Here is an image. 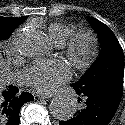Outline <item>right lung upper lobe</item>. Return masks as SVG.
Instances as JSON below:
<instances>
[{
    "instance_id": "1",
    "label": "right lung upper lobe",
    "mask_w": 125,
    "mask_h": 125,
    "mask_svg": "<svg viewBox=\"0 0 125 125\" xmlns=\"http://www.w3.org/2000/svg\"><path fill=\"white\" fill-rule=\"evenodd\" d=\"M0 18L1 19L2 18H7L10 21L22 23L27 17L23 16V17H20V18H8V17H0Z\"/></svg>"
}]
</instances>
